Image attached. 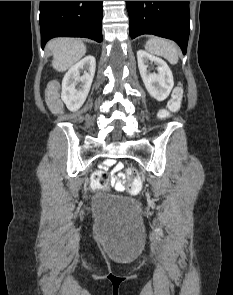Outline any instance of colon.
<instances>
[{
  "mask_svg": "<svg viewBox=\"0 0 233 295\" xmlns=\"http://www.w3.org/2000/svg\"><path fill=\"white\" fill-rule=\"evenodd\" d=\"M182 98V89L177 87L173 93V97L169 103V109L162 111L161 116L166 117L171 113L176 112L180 107ZM47 102L49 107L54 113H60L61 103L58 98V91L55 85L49 87L47 91ZM128 186L127 190L130 195H135L139 192L142 186V178L140 173L135 168H129L127 170ZM109 182V176L104 170H96L91 175V186L94 189L105 187Z\"/></svg>",
  "mask_w": 233,
  "mask_h": 295,
  "instance_id": "5ec220e1",
  "label": "colon"
}]
</instances>
